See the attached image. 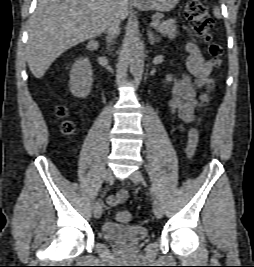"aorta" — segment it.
<instances>
[{"label": "aorta", "instance_id": "obj_1", "mask_svg": "<svg viewBox=\"0 0 254 267\" xmlns=\"http://www.w3.org/2000/svg\"><path fill=\"white\" fill-rule=\"evenodd\" d=\"M143 57V44L138 35L137 29L133 27L128 35L127 59L130 72L133 76H137L141 72V64Z\"/></svg>", "mask_w": 254, "mask_h": 267}]
</instances>
